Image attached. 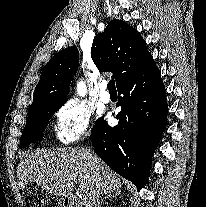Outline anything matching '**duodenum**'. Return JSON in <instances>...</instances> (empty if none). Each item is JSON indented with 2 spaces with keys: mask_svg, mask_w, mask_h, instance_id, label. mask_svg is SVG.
Instances as JSON below:
<instances>
[{
  "mask_svg": "<svg viewBox=\"0 0 206 207\" xmlns=\"http://www.w3.org/2000/svg\"><path fill=\"white\" fill-rule=\"evenodd\" d=\"M68 207H74V202L71 199H68Z\"/></svg>",
  "mask_w": 206,
  "mask_h": 207,
  "instance_id": "obj_1",
  "label": "duodenum"
}]
</instances>
